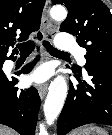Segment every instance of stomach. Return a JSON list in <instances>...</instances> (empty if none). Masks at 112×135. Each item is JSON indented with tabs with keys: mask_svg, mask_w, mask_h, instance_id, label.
Listing matches in <instances>:
<instances>
[{
	"mask_svg": "<svg viewBox=\"0 0 112 135\" xmlns=\"http://www.w3.org/2000/svg\"><path fill=\"white\" fill-rule=\"evenodd\" d=\"M77 135H107V132L98 126H89L81 129Z\"/></svg>",
	"mask_w": 112,
	"mask_h": 135,
	"instance_id": "0dacf381",
	"label": "stomach"
}]
</instances>
